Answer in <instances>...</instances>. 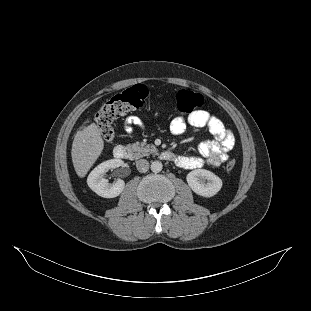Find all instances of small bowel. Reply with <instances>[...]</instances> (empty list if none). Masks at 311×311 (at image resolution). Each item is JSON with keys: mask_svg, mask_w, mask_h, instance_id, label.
<instances>
[{"mask_svg": "<svg viewBox=\"0 0 311 311\" xmlns=\"http://www.w3.org/2000/svg\"><path fill=\"white\" fill-rule=\"evenodd\" d=\"M187 124L207 128L213 136L212 140L204 141L197 147V156H178L175 158L177 166L184 169H197L205 164L220 166L228 159V153L234 147V135L216 116L211 115L205 110H196L189 114L187 118L176 117L170 123V132L173 135L182 134ZM143 123L136 116H129L125 120V131L132 134L134 127H142Z\"/></svg>", "mask_w": 311, "mask_h": 311, "instance_id": "1", "label": "small bowel"}]
</instances>
